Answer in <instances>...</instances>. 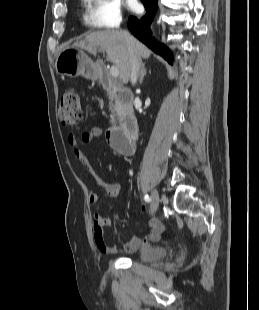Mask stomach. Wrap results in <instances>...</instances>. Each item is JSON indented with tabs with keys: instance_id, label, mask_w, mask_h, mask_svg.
<instances>
[{
	"instance_id": "stomach-1",
	"label": "stomach",
	"mask_w": 259,
	"mask_h": 310,
	"mask_svg": "<svg viewBox=\"0 0 259 310\" xmlns=\"http://www.w3.org/2000/svg\"><path fill=\"white\" fill-rule=\"evenodd\" d=\"M56 71L69 77L79 75L86 78H95L93 64L90 58L78 47H66L57 56Z\"/></svg>"
}]
</instances>
